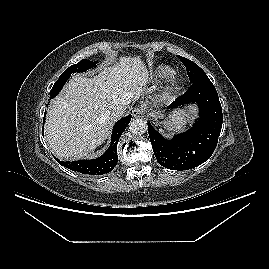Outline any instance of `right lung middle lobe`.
Returning a JSON list of instances; mask_svg holds the SVG:
<instances>
[{
	"label": "right lung middle lobe",
	"mask_w": 269,
	"mask_h": 269,
	"mask_svg": "<svg viewBox=\"0 0 269 269\" xmlns=\"http://www.w3.org/2000/svg\"><path fill=\"white\" fill-rule=\"evenodd\" d=\"M96 63H98V61L92 62L89 61L87 59H82L80 62H78L75 65L70 66L68 69L65 70V72H63L59 78L61 77H66V76H71V74L73 73H79V72H85L88 69H90L91 67H95Z\"/></svg>",
	"instance_id": "obj_1"
}]
</instances>
